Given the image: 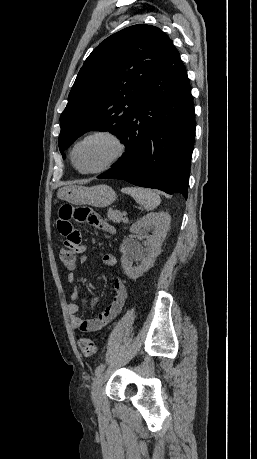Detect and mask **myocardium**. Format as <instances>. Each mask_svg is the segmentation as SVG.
I'll return each mask as SVG.
<instances>
[{
  "label": "myocardium",
  "instance_id": "1",
  "mask_svg": "<svg viewBox=\"0 0 257 459\" xmlns=\"http://www.w3.org/2000/svg\"><path fill=\"white\" fill-rule=\"evenodd\" d=\"M96 137H104V138H107L110 141H112L113 144L115 145L116 151H115L114 155L106 163H104L100 167L92 169V170H88V171L81 170L77 166L76 161H75L76 149L83 142H85V141H87L89 139H92V138H96ZM125 151H126L125 144H124L122 138L116 132H114V131H112L110 129H97V130H94V131H91V132L85 134L84 136L79 138L73 144V146L71 148V151H70V160H71V163L74 166V168L81 174H86V175L99 174V173H102V172H105V171L109 170L114 165H116L122 159V157L124 156Z\"/></svg>",
  "mask_w": 257,
  "mask_h": 459
}]
</instances>
